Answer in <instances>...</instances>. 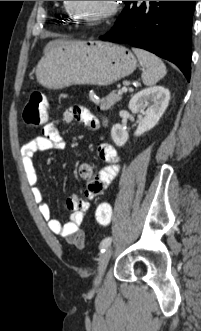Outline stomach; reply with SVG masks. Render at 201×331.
Segmentation results:
<instances>
[{
	"label": "stomach",
	"instance_id": "stomach-1",
	"mask_svg": "<svg viewBox=\"0 0 201 331\" xmlns=\"http://www.w3.org/2000/svg\"><path fill=\"white\" fill-rule=\"evenodd\" d=\"M137 59L126 47L102 40L64 41L44 52L36 67L40 84L60 89L70 85H110L130 75Z\"/></svg>",
	"mask_w": 201,
	"mask_h": 331
}]
</instances>
